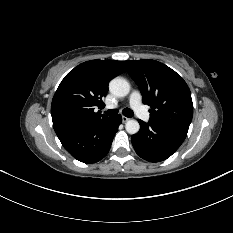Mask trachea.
<instances>
[{"instance_id":"obj_1","label":"trachea","mask_w":233,"mask_h":233,"mask_svg":"<svg viewBox=\"0 0 233 233\" xmlns=\"http://www.w3.org/2000/svg\"><path fill=\"white\" fill-rule=\"evenodd\" d=\"M108 116H114L118 113L117 109H110L105 112ZM123 115L126 117H132L134 115L133 111L129 108L123 109Z\"/></svg>"}]
</instances>
